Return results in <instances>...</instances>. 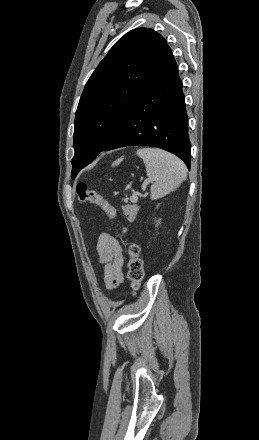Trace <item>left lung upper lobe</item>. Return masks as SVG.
<instances>
[{
  "mask_svg": "<svg viewBox=\"0 0 259 440\" xmlns=\"http://www.w3.org/2000/svg\"><path fill=\"white\" fill-rule=\"evenodd\" d=\"M166 46L149 28L126 33L87 81L75 115L72 178L118 133L146 87Z\"/></svg>",
  "mask_w": 259,
  "mask_h": 440,
  "instance_id": "1",
  "label": "left lung upper lobe"
}]
</instances>
